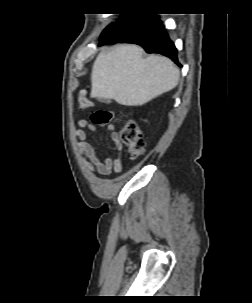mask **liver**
I'll return each mask as SVG.
<instances>
[{
	"label": "liver",
	"mask_w": 252,
	"mask_h": 303,
	"mask_svg": "<svg viewBox=\"0 0 252 303\" xmlns=\"http://www.w3.org/2000/svg\"><path fill=\"white\" fill-rule=\"evenodd\" d=\"M180 71L159 55L143 58L137 45H119L96 58L91 73V97L114 99L126 106L143 105L178 84Z\"/></svg>",
	"instance_id": "liver-1"
}]
</instances>
